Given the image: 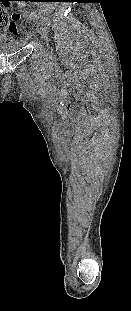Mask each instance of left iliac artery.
<instances>
[{"label": "left iliac artery", "mask_w": 131, "mask_h": 311, "mask_svg": "<svg viewBox=\"0 0 131 311\" xmlns=\"http://www.w3.org/2000/svg\"><path fill=\"white\" fill-rule=\"evenodd\" d=\"M43 22H44L46 25H48V26L51 24L50 19H47V18H44V19H43Z\"/></svg>", "instance_id": "44dca946"}]
</instances>
